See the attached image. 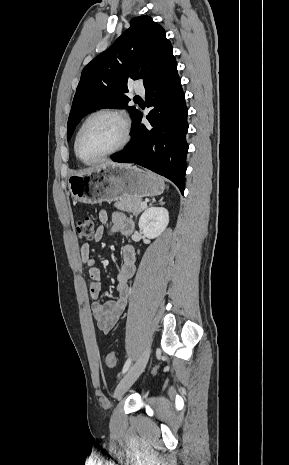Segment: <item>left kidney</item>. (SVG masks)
Masks as SVG:
<instances>
[{
  "mask_svg": "<svg viewBox=\"0 0 289 465\" xmlns=\"http://www.w3.org/2000/svg\"><path fill=\"white\" fill-rule=\"evenodd\" d=\"M169 223V213L164 207H150L146 209L140 219L139 228L148 238L158 237Z\"/></svg>",
  "mask_w": 289,
  "mask_h": 465,
  "instance_id": "left-kidney-1",
  "label": "left kidney"
}]
</instances>
